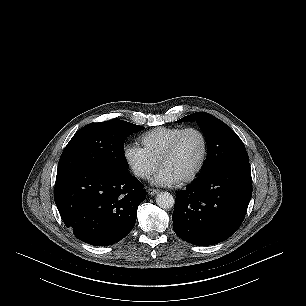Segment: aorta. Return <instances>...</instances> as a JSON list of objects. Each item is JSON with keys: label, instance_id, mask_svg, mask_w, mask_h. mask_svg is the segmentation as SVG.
<instances>
[{"label": "aorta", "instance_id": "aorta-1", "mask_svg": "<svg viewBox=\"0 0 306 306\" xmlns=\"http://www.w3.org/2000/svg\"><path fill=\"white\" fill-rule=\"evenodd\" d=\"M156 204L163 209H170L174 205V198L168 192H161L156 197Z\"/></svg>", "mask_w": 306, "mask_h": 306}]
</instances>
